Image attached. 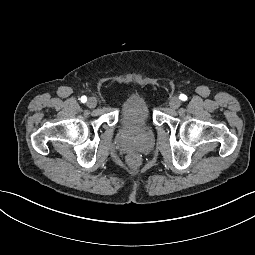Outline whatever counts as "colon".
Listing matches in <instances>:
<instances>
[{
    "instance_id": "5ec220e1",
    "label": "colon",
    "mask_w": 255,
    "mask_h": 255,
    "mask_svg": "<svg viewBox=\"0 0 255 255\" xmlns=\"http://www.w3.org/2000/svg\"><path fill=\"white\" fill-rule=\"evenodd\" d=\"M138 162H139V159H138V157L136 155H130L128 157V164L130 166L134 167V166H136L138 164Z\"/></svg>"
}]
</instances>
